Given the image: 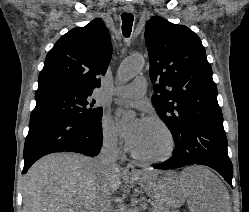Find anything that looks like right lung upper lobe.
Instances as JSON below:
<instances>
[{
    "label": "right lung upper lobe",
    "instance_id": "obj_1",
    "mask_svg": "<svg viewBox=\"0 0 249 212\" xmlns=\"http://www.w3.org/2000/svg\"><path fill=\"white\" fill-rule=\"evenodd\" d=\"M112 55L108 30L101 19L63 35L48 52L35 95L55 91L92 93L100 87Z\"/></svg>",
    "mask_w": 249,
    "mask_h": 212
}]
</instances>
